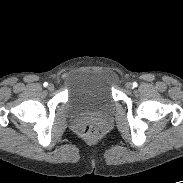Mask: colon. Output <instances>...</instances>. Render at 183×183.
Instances as JSON below:
<instances>
[{
	"label": "colon",
	"instance_id": "colon-1",
	"mask_svg": "<svg viewBox=\"0 0 183 183\" xmlns=\"http://www.w3.org/2000/svg\"><path fill=\"white\" fill-rule=\"evenodd\" d=\"M80 132L85 138L94 139L97 137L99 129L94 121L89 120L81 124Z\"/></svg>",
	"mask_w": 183,
	"mask_h": 183
}]
</instances>
